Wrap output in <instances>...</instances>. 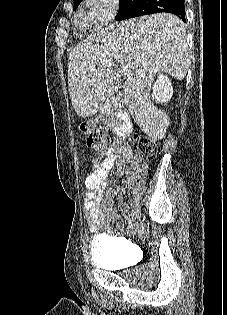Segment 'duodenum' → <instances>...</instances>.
I'll use <instances>...</instances> for the list:
<instances>
[{
	"label": "duodenum",
	"instance_id": "obj_1",
	"mask_svg": "<svg viewBox=\"0 0 227 315\" xmlns=\"http://www.w3.org/2000/svg\"><path fill=\"white\" fill-rule=\"evenodd\" d=\"M108 121L112 124L117 135L121 139H125L131 131L130 117L127 111L114 104L112 117Z\"/></svg>",
	"mask_w": 227,
	"mask_h": 315
}]
</instances>
